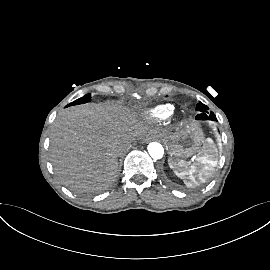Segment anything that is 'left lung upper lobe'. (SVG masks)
<instances>
[{"instance_id":"5c2ea615","label":"left lung upper lobe","mask_w":270,"mask_h":270,"mask_svg":"<svg viewBox=\"0 0 270 270\" xmlns=\"http://www.w3.org/2000/svg\"><path fill=\"white\" fill-rule=\"evenodd\" d=\"M197 109H198L201 113L198 114V115L196 116V119H200L201 114H206V113H208V112H207L208 107H207L206 105L202 104L201 102H200V104L197 106ZM211 113H212V112H211ZM212 114H214V113H212Z\"/></svg>"}]
</instances>
